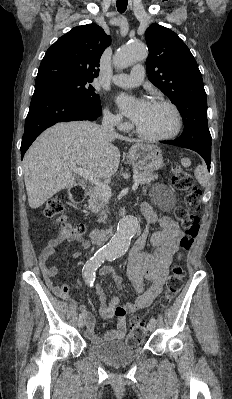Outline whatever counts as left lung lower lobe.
Instances as JSON below:
<instances>
[{"label":"left lung lower lobe","mask_w":232,"mask_h":399,"mask_svg":"<svg viewBox=\"0 0 232 399\" xmlns=\"http://www.w3.org/2000/svg\"><path fill=\"white\" fill-rule=\"evenodd\" d=\"M162 143L165 144H170V145H175V146H179V147H183V148H188L191 150L196 151L197 153H199L205 160L208 169L210 170V163H211V150H207V149H202L199 148L197 146L194 145H188V144H183L178 142L177 140H173V141H161Z\"/></svg>","instance_id":"left-lung-lower-lobe-1"}]
</instances>
